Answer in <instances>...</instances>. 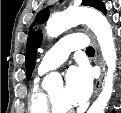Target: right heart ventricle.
Wrapping results in <instances>:
<instances>
[{
  "label": "right heart ventricle",
  "instance_id": "1",
  "mask_svg": "<svg viewBox=\"0 0 121 113\" xmlns=\"http://www.w3.org/2000/svg\"><path fill=\"white\" fill-rule=\"evenodd\" d=\"M39 75H41L39 73ZM30 113H51L47 105L45 91L40 87L38 79L34 82L28 102Z\"/></svg>",
  "mask_w": 121,
  "mask_h": 113
}]
</instances>
